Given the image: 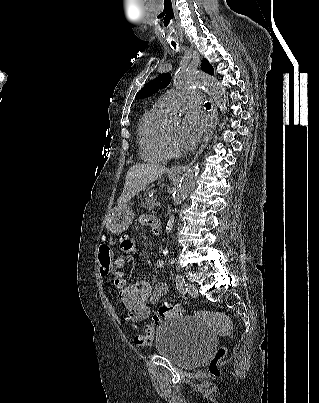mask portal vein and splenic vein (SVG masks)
I'll use <instances>...</instances> for the list:
<instances>
[{
  "label": "portal vein and splenic vein",
  "mask_w": 319,
  "mask_h": 403,
  "mask_svg": "<svg viewBox=\"0 0 319 403\" xmlns=\"http://www.w3.org/2000/svg\"><path fill=\"white\" fill-rule=\"evenodd\" d=\"M155 206H156V207H160V206H161V203L157 201V202L155 203Z\"/></svg>",
  "instance_id": "18ae733b"
}]
</instances>
